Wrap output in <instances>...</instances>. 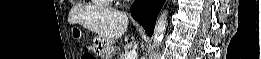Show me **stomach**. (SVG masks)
<instances>
[{
	"label": "stomach",
	"instance_id": "1",
	"mask_svg": "<svg viewBox=\"0 0 261 59\" xmlns=\"http://www.w3.org/2000/svg\"><path fill=\"white\" fill-rule=\"evenodd\" d=\"M113 43L111 39L97 36L93 40V51L102 59H112Z\"/></svg>",
	"mask_w": 261,
	"mask_h": 59
}]
</instances>
